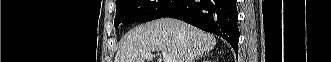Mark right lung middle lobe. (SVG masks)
Instances as JSON below:
<instances>
[{
  "label": "right lung middle lobe",
  "instance_id": "dd1d6c3e",
  "mask_svg": "<svg viewBox=\"0 0 331 62\" xmlns=\"http://www.w3.org/2000/svg\"><path fill=\"white\" fill-rule=\"evenodd\" d=\"M181 0H118L116 1L115 28L119 23L147 22L161 18Z\"/></svg>",
  "mask_w": 331,
  "mask_h": 62
}]
</instances>
